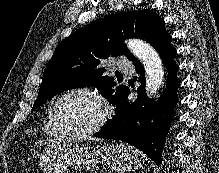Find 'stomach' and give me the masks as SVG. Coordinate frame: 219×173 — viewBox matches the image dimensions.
Instances as JSON below:
<instances>
[{"mask_svg": "<svg viewBox=\"0 0 219 173\" xmlns=\"http://www.w3.org/2000/svg\"><path fill=\"white\" fill-rule=\"evenodd\" d=\"M38 162L43 173H66L70 168L90 169L97 164H102L116 173H126L136 169L140 164L138 154L130 146L122 143L102 147L51 143L43 148Z\"/></svg>", "mask_w": 219, "mask_h": 173, "instance_id": "1", "label": "stomach"}]
</instances>
